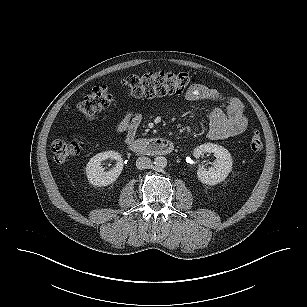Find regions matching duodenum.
<instances>
[{
  "instance_id": "obj_1",
  "label": "duodenum",
  "mask_w": 307,
  "mask_h": 307,
  "mask_svg": "<svg viewBox=\"0 0 307 307\" xmlns=\"http://www.w3.org/2000/svg\"><path fill=\"white\" fill-rule=\"evenodd\" d=\"M128 146L136 153L152 156H165L174 150L172 141L161 137L131 140Z\"/></svg>"
}]
</instances>
